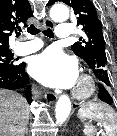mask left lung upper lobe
Segmentation results:
<instances>
[{
  "instance_id": "1",
  "label": "left lung upper lobe",
  "mask_w": 117,
  "mask_h": 136,
  "mask_svg": "<svg viewBox=\"0 0 117 136\" xmlns=\"http://www.w3.org/2000/svg\"><path fill=\"white\" fill-rule=\"evenodd\" d=\"M57 0H50L47 5H53ZM71 6L77 17V25L83 26L85 33L82 42L72 45V51L81 57L93 70L96 77L106 87H110L108 72L106 70L107 58L102 33V25L98 19L95 6L90 0H62Z\"/></svg>"
}]
</instances>
